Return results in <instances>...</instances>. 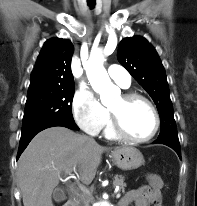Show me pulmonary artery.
<instances>
[{
	"instance_id": "e3ab8cb5",
	"label": "pulmonary artery",
	"mask_w": 197,
	"mask_h": 206,
	"mask_svg": "<svg viewBox=\"0 0 197 206\" xmlns=\"http://www.w3.org/2000/svg\"><path fill=\"white\" fill-rule=\"evenodd\" d=\"M109 77L121 87L127 88L131 84V77L124 67L113 64L108 68Z\"/></svg>"
}]
</instances>
